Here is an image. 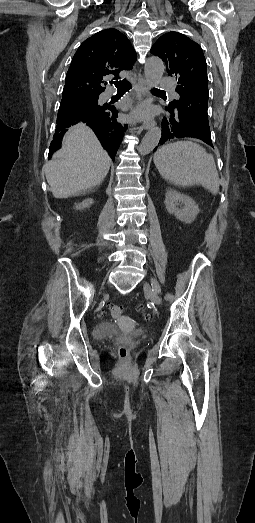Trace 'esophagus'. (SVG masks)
<instances>
[{"label": "esophagus", "mask_w": 255, "mask_h": 523, "mask_svg": "<svg viewBox=\"0 0 255 523\" xmlns=\"http://www.w3.org/2000/svg\"><path fill=\"white\" fill-rule=\"evenodd\" d=\"M135 79L137 81V84L139 86L141 93L145 97H147L149 95V91H150L149 83L143 78V76L140 73L135 75ZM131 114L134 116L135 120L141 121L142 116H143V110L140 106H138L131 112ZM154 125H155L154 120H146L143 123V127L145 130H148L149 128L153 127Z\"/></svg>", "instance_id": "34e87169"}]
</instances>
